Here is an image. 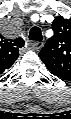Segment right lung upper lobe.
Segmentation results:
<instances>
[{"label":"right lung upper lobe","instance_id":"obj_1","mask_svg":"<svg viewBox=\"0 0 71 119\" xmlns=\"http://www.w3.org/2000/svg\"><path fill=\"white\" fill-rule=\"evenodd\" d=\"M24 46V40L19 37L13 40L0 39V73L9 69L19 56V49Z\"/></svg>","mask_w":71,"mask_h":119}]
</instances>
